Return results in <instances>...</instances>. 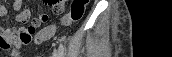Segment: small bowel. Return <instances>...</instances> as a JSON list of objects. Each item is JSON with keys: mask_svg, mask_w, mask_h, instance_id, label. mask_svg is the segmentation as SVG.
Listing matches in <instances>:
<instances>
[{"mask_svg": "<svg viewBox=\"0 0 172 57\" xmlns=\"http://www.w3.org/2000/svg\"><path fill=\"white\" fill-rule=\"evenodd\" d=\"M46 5L52 6L54 13H60L63 9V3L58 4L53 2V0H43ZM13 10L16 12V21L19 23H26L30 20L31 11L27 8L23 9V1L15 0L13 2ZM9 10L7 6L0 2V49L4 51H9L12 54L17 53L23 46L28 45L32 41L35 44H41L43 41L49 39L50 37H44L41 33L47 29L45 27L40 31L37 28L46 23L49 19L47 13H41L36 18L31 20L28 26H11L7 19Z\"/></svg>", "mask_w": 172, "mask_h": 57, "instance_id": "obj_1", "label": "small bowel"}]
</instances>
